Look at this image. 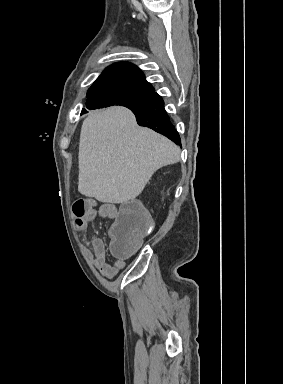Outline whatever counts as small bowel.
I'll return each mask as SVG.
<instances>
[{
  "label": "small bowel",
  "instance_id": "1",
  "mask_svg": "<svg viewBox=\"0 0 283 384\" xmlns=\"http://www.w3.org/2000/svg\"><path fill=\"white\" fill-rule=\"evenodd\" d=\"M118 215V208L113 204H102L98 209L90 208L86 215L76 223L78 230H87L90 225L95 221L97 216L107 219H115ZM91 249H85L84 254L86 258L100 271L106 278H112L118 274L126 266L124 258L116 256L114 261L107 262V249L105 242L98 236L91 237Z\"/></svg>",
  "mask_w": 283,
  "mask_h": 384
}]
</instances>
